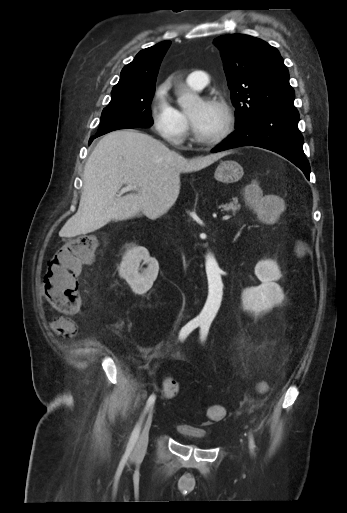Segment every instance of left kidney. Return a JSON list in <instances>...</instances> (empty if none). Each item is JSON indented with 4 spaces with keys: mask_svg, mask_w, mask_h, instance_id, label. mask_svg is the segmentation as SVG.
Instances as JSON below:
<instances>
[{
    "mask_svg": "<svg viewBox=\"0 0 347 513\" xmlns=\"http://www.w3.org/2000/svg\"><path fill=\"white\" fill-rule=\"evenodd\" d=\"M255 274L262 284L246 288L242 293V304L246 311L261 316L284 299L283 291L276 283L281 278V272L275 261L263 260L257 263Z\"/></svg>",
    "mask_w": 347,
    "mask_h": 513,
    "instance_id": "obj_1",
    "label": "left kidney"
}]
</instances>
